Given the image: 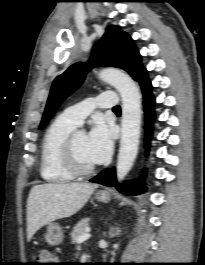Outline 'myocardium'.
I'll return each mask as SVG.
<instances>
[{"instance_id":"f54148a6","label":"myocardium","mask_w":205,"mask_h":265,"mask_svg":"<svg viewBox=\"0 0 205 265\" xmlns=\"http://www.w3.org/2000/svg\"><path fill=\"white\" fill-rule=\"evenodd\" d=\"M78 133L80 132L74 131L68 136L64 146L63 160L66 168L74 176H87L96 170V165L85 167L80 165L77 161L75 154V138Z\"/></svg>"}]
</instances>
